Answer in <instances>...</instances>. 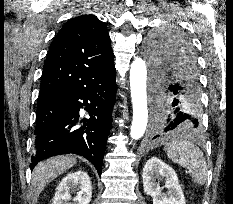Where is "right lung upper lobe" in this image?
<instances>
[{"label": "right lung upper lobe", "instance_id": "obj_1", "mask_svg": "<svg viewBox=\"0 0 233 204\" xmlns=\"http://www.w3.org/2000/svg\"><path fill=\"white\" fill-rule=\"evenodd\" d=\"M112 67L114 56L105 23L94 15L75 17L63 25L50 44L39 101L71 90Z\"/></svg>", "mask_w": 233, "mask_h": 204}]
</instances>
